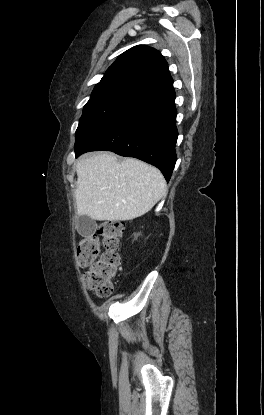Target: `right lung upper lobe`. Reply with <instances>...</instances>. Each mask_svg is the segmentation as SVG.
Returning a JSON list of instances; mask_svg holds the SVG:
<instances>
[{"label": "right lung upper lobe", "mask_w": 264, "mask_h": 415, "mask_svg": "<svg viewBox=\"0 0 264 415\" xmlns=\"http://www.w3.org/2000/svg\"><path fill=\"white\" fill-rule=\"evenodd\" d=\"M172 88L173 79L161 53L146 45H137L116 59L92 95L122 93L144 100Z\"/></svg>", "instance_id": "1"}]
</instances>
